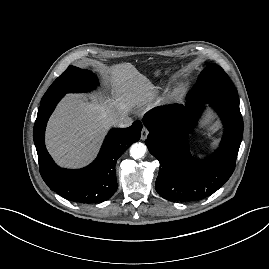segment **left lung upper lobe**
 I'll return each instance as SVG.
<instances>
[{
	"mask_svg": "<svg viewBox=\"0 0 269 269\" xmlns=\"http://www.w3.org/2000/svg\"><path fill=\"white\" fill-rule=\"evenodd\" d=\"M194 104L227 100L239 103L238 93L229 76L214 63H209L187 97Z\"/></svg>",
	"mask_w": 269,
	"mask_h": 269,
	"instance_id": "left-lung-upper-lobe-1",
	"label": "left lung upper lobe"
}]
</instances>
